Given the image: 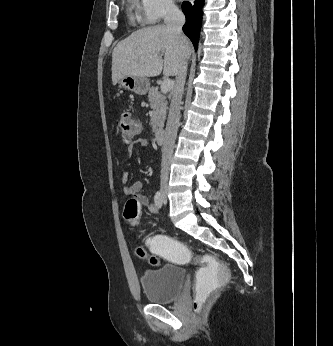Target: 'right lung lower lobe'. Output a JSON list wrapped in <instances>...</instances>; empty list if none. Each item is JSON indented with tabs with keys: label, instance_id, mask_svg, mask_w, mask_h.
<instances>
[{
	"label": "right lung lower lobe",
	"instance_id": "98d812e1",
	"mask_svg": "<svg viewBox=\"0 0 333 346\" xmlns=\"http://www.w3.org/2000/svg\"><path fill=\"white\" fill-rule=\"evenodd\" d=\"M204 0L202 1H194V2H183L182 10L186 16V23L183 26V32L189 37L192 41L195 50H197V44L199 39L198 28L200 26V21L202 18V5Z\"/></svg>",
	"mask_w": 333,
	"mask_h": 346
}]
</instances>
